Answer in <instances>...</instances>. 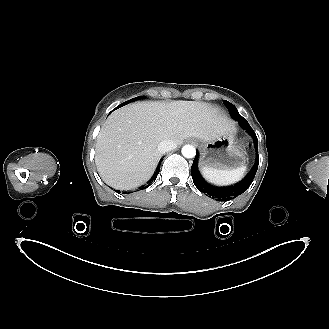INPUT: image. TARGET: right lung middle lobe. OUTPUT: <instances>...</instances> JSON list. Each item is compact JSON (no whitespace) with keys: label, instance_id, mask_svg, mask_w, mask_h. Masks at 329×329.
Returning <instances> with one entry per match:
<instances>
[{"label":"right lung middle lobe","instance_id":"dd1d6c3e","mask_svg":"<svg viewBox=\"0 0 329 329\" xmlns=\"http://www.w3.org/2000/svg\"><path fill=\"white\" fill-rule=\"evenodd\" d=\"M138 99H141V97H136V98H133V99H131V100H128V101L122 103L121 105H119L118 108H119V107H122V106H124V105H126V104H128V103H130V102L136 101V100H138Z\"/></svg>","mask_w":329,"mask_h":329}]
</instances>
